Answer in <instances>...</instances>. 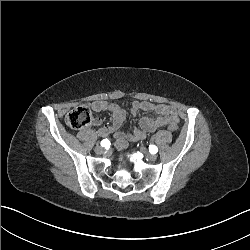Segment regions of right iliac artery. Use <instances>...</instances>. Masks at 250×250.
<instances>
[{
  "label": "right iliac artery",
  "mask_w": 250,
  "mask_h": 250,
  "mask_svg": "<svg viewBox=\"0 0 250 250\" xmlns=\"http://www.w3.org/2000/svg\"><path fill=\"white\" fill-rule=\"evenodd\" d=\"M110 145V141L108 139H104L101 141V146L102 147H108Z\"/></svg>",
  "instance_id": "82829eb1"
}]
</instances>
